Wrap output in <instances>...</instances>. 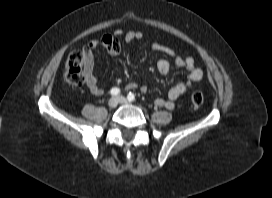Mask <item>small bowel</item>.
<instances>
[{
    "label": "small bowel",
    "mask_w": 272,
    "mask_h": 198,
    "mask_svg": "<svg viewBox=\"0 0 272 198\" xmlns=\"http://www.w3.org/2000/svg\"><path fill=\"white\" fill-rule=\"evenodd\" d=\"M144 34L141 31H124L123 29H115L111 34H105L98 39H93L87 42L83 47V55L85 62L86 84L89 91L96 96H101L104 93L102 87L99 86L97 78L94 74V50L97 47H103L111 55H118L121 50V44L118 38H123L126 42H132L143 38ZM152 48L160 51L173 58L174 64L177 67L184 68L187 71V79L181 81L169 89L167 98H157L155 104L159 107H165L172 110L175 107V101L190 90L194 82H198L203 78L202 69L195 66L193 57H183L178 55L173 49L164 47L158 44H152ZM157 70L161 74H167L170 70V62L167 59H159L157 61ZM126 89L145 93L148 87L144 84L130 82L126 85Z\"/></svg>",
    "instance_id": "small-bowel-1"
}]
</instances>
